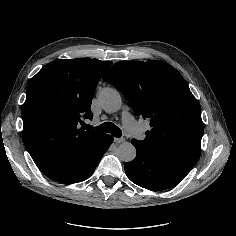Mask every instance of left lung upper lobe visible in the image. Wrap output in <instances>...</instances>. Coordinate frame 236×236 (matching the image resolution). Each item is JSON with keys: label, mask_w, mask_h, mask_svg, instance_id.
Masks as SVG:
<instances>
[{"label": "left lung upper lobe", "mask_w": 236, "mask_h": 236, "mask_svg": "<svg viewBox=\"0 0 236 236\" xmlns=\"http://www.w3.org/2000/svg\"><path fill=\"white\" fill-rule=\"evenodd\" d=\"M102 79L117 87L137 116L150 121L142 146L191 170L200 157L203 122L198 101L181 74L162 61H122Z\"/></svg>", "instance_id": "1"}]
</instances>
